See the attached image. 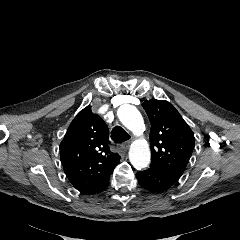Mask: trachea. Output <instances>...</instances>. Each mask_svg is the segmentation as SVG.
<instances>
[{
    "instance_id": "3493384b",
    "label": "trachea",
    "mask_w": 240,
    "mask_h": 240,
    "mask_svg": "<svg viewBox=\"0 0 240 240\" xmlns=\"http://www.w3.org/2000/svg\"><path fill=\"white\" fill-rule=\"evenodd\" d=\"M111 138L116 143H123L130 139V135L120 126H115L111 131Z\"/></svg>"
}]
</instances>
